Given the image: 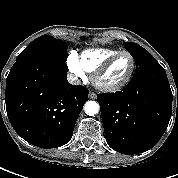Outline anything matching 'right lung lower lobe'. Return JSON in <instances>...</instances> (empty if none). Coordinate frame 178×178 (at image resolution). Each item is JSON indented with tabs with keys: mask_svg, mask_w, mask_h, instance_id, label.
<instances>
[{
	"mask_svg": "<svg viewBox=\"0 0 178 178\" xmlns=\"http://www.w3.org/2000/svg\"><path fill=\"white\" fill-rule=\"evenodd\" d=\"M62 62H16L7 80L9 121L25 141L41 148L68 143L88 100V90L71 85Z\"/></svg>",
	"mask_w": 178,
	"mask_h": 178,
	"instance_id": "right-lung-lower-lobe-1",
	"label": "right lung lower lobe"
}]
</instances>
